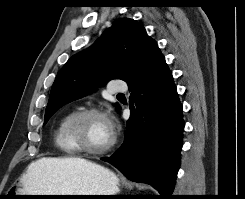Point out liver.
<instances>
[{
  "mask_svg": "<svg viewBox=\"0 0 245 199\" xmlns=\"http://www.w3.org/2000/svg\"><path fill=\"white\" fill-rule=\"evenodd\" d=\"M90 164L93 163L78 157L41 158L29 165L22 180L27 188L37 190L46 175L63 173L73 166H88Z\"/></svg>",
  "mask_w": 245,
  "mask_h": 199,
  "instance_id": "1",
  "label": "liver"
}]
</instances>
